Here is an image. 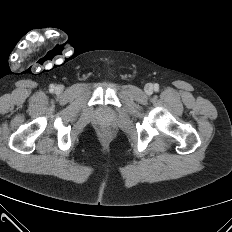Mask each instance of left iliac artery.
Masks as SVG:
<instances>
[{"label": "left iliac artery", "instance_id": "obj_1", "mask_svg": "<svg viewBox=\"0 0 232 232\" xmlns=\"http://www.w3.org/2000/svg\"><path fill=\"white\" fill-rule=\"evenodd\" d=\"M154 87H155V89H156V90H158V85H157V84H155V86H154Z\"/></svg>", "mask_w": 232, "mask_h": 232}]
</instances>
